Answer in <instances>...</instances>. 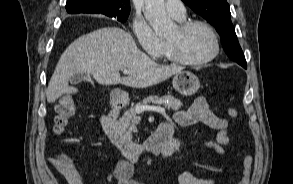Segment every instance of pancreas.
<instances>
[{
    "label": "pancreas",
    "instance_id": "cf45deb5",
    "mask_svg": "<svg viewBox=\"0 0 293 184\" xmlns=\"http://www.w3.org/2000/svg\"><path fill=\"white\" fill-rule=\"evenodd\" d=\"M150 103L163 105L168 109L177 111L182 106L179 99L174 98L172 95H167L163 97L159 96H149L144 98L141 102L137 103L135 107H130L125 111L123 116L118 121L119 130L122 134L128 138L132 137V132L137 130L136 125L139 124L140 118L137 116L136 107L148 105Z\"/></svg>",
    "mask_w": 293,
    "mask_h": 184
}]
</instances>
